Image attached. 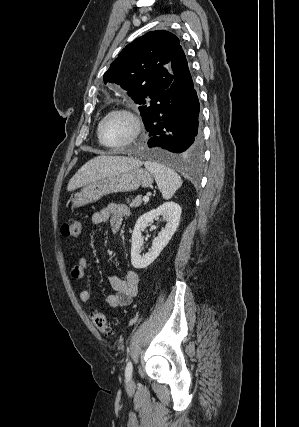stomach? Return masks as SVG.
Listing matches in <instances>:
<instances>
[{"label":"stomach","instance_id":"stomach-1","mask_svg":"<svg viewBox=\"0 0 299 427\" xmlns=\"http://www.w3.org/2000/svg\"><path fill=\"white\" fill-rule=\"evenodd\" d=\"M153 183V176L138 167L101 178L86 185L71 199L73 209L96 202L113 193L131 192L140 186L146 188Z\"/></svg>","mask_w":299,"mask_h":427}]
</instances>
